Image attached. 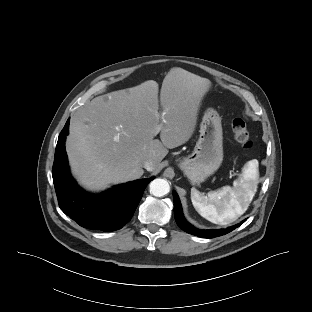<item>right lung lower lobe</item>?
Instances as JSON below:
<instances>
[{
  "mask_svg": "<svg viewBox=\"0 0 312 312\" xmlns=\"http://www.w3.org/2000/svg\"><path fill=\"white\" fill-rule=\"evenodd\" d=\"M69 120L61 131L54 157L53 182L61 210L87 229L115 231L133 216L147 184L154 179H140L115 186L102 195L82 190L71 178L65 150Z\"/></svg>",
  "mask_w": 312,
  "mask_h": 312,
  "instance_id": "1",
  "label": "right lung lower lobe"
}]
</instances>
